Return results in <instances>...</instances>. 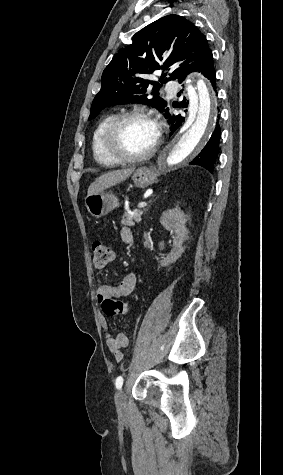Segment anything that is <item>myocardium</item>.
Returning a JSON list of instances; mask_svg holds the SVG:
<instances>
[{
	"mask_svg": "<svg viewBox=\"0 0 283 475\" xmlns=\"http://www.w3.org/2000/svg\"><path fill=\"white\" fill-rule=\"evenodd\" d=\"M136 117H144V118H149L152 119L156 125H157V137L156 140L153 144V146L143 155L138 156V157H111L107 156L105 158V162H135V165H139L142 163H145L148 161L150 158L153 157V155L157 152L159 146H160V137H161V128L159 126V119L157 115L150 111H143V110H132V111H127L123 112L119 115H117L114 120L110 123L109 127L107 128L105 135L103 137L102 141V151L103 152H108V149L111 145L114 144L116 141L117 133L120 128V126L128 119L131 118H136Z\"/></svg>",
	"mask_w": 283,
	"mask_h": 475,
	"instance_id": "myocardium-1",
	"label": "myocardium"
}]
</instances>
